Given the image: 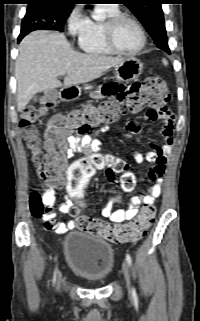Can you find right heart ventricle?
I'll return each mask as SVG.
<instances>
[{
  "label": "right heart ventricle",
  "instance_id": "obj_1",
  "mask_svg": "<svg viewBox=\"0 0 200 321\" xmlns=\"http://www.w3.org/2000/svg\"><path fill=\"white\" fill-rule=\"evenodd\" d=\"M99 9L107 18L120 13L116 5H100ZM104 22L88 19L86 28L78 36V45L82 51L92 55L110 56L115 54L105 41Z\"/></svg>",
  "mask_w": 200,
  "mask_h": 321
}]
</instances>
